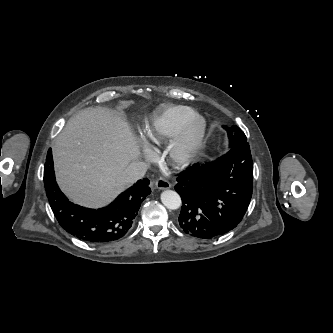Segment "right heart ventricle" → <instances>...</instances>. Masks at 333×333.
<instances>
[{"mask_svg": "<svg viewBox=\"0 0 333 333\" xmlns=\"http://www.w3.org/2000/svg\"><path fill=\"white\" fill-rule=\"evenodd\" d=\"M195 114H197L196 110L189 106H164L145 125L144 137L150 145H158L171 140L182 125Z\"/></svg>", "mask_w": 333, "mask_h": 333, "instance_id": "e07e8e85", "label": "right heart ventricle"}]
</instances>
